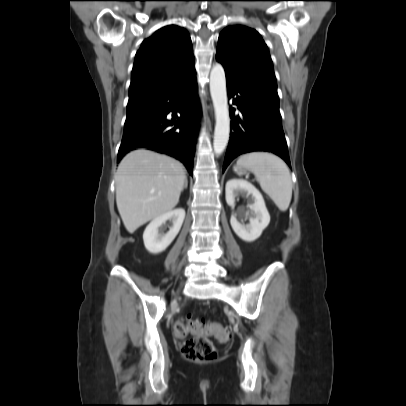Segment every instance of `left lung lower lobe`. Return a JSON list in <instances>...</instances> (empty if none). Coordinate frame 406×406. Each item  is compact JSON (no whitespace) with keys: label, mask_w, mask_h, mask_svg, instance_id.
Here are the masks:
<instances>
[{"label":"left lung lower lobe","mask_w":406,"mask_h":406,"mask_svg":"<svg viewBox=\"0 0 406 406\" xmlns=\"http://www.w3.org/2000/svg\"><path fill=\"white\" fill-rule=\"evenodd\" d=\"M228 97H234L239 114L230 108L231 133L223 171L238 155L268 151L280 156L291 167L281 124L278 94L253 84L225 69Z\"/></svg>","instance_id":"left-lung-lower-lobe-1"}]
</instances>
